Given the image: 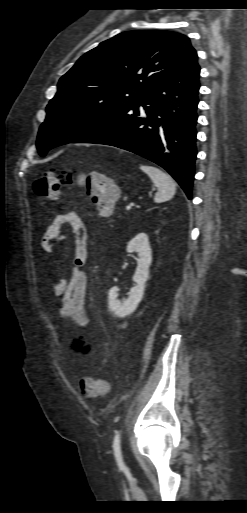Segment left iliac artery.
I'll return each mask as SVG.
<instances>
[{"label":"left iliac artery","instance_id":"44dca946","mask_svg":"<svg viewBox=\"0 0 247 513\" xmlns=\"http://www.w3.org/2000/svg\"><path fill=\"white\" fill-rule=\"evenodd\" d=\"M120 442H121L120 433H119V431H117L116 435L114 437V441H113V450H114V455H115L116 462H117L119 468L124 470V469H126V466L123 461Z\"/></svg>","mask_w":247,"mask_h":513}]
</instances>
